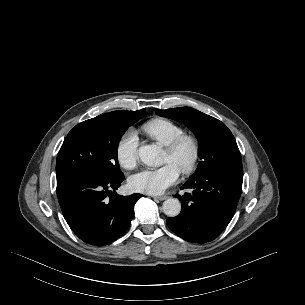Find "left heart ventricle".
I'll list each match as a JSON object with an SVG mask.
<instances>
[{"label": "left heart ventricle", "instance_id": "obj_1", "mask_svg": "<svg viewBox=\"0 0 305 305\" xmlns=\"http://www.w3.org/2000/svg\"><path fill=\"white\" fill-rule=\"evenodd\" d=\"M191 157V150L185 147L178 155H171L165 151L164 162H170L176 165L179 169L186 164Z\"/></svg>", "mask_w": 305, "mask_h": 305}]
</instances>
